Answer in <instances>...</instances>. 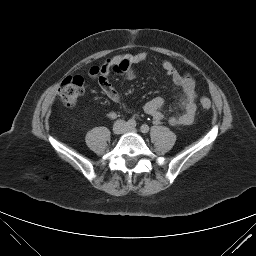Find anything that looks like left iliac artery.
Here are the masks:
<instances>
[{"label": "left iliac artery", "instance_id": "obj_1", "mask_svg": "<svg viewBox=\"0 0 256 256\" xmlns=\"http://www.w3.org/2000/svg\"><path fill=\"white\" fill-rule=\"evenodd\" d=\"M140 130L142 133H147L149 131V126L146 125V124H143L141 127H140Z\"/></svg>", "mask_w": 256, "mask_h": 256}]
</instances>
